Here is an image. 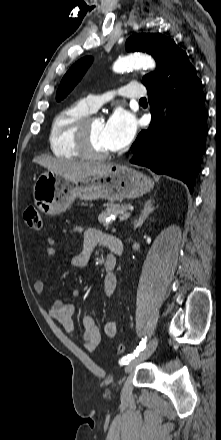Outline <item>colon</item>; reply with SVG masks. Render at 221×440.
Segmentation results:
<instances>
[{"label":"colon","mask_w":221,"mask_h":440,"mask_svg":"<svg viewBox=\"0 0 221 440\" xmlns=\"http://www.w3.org/2000/svg\"><path fill=\"white\" fill-rule=\"evenodd\" d=\"M24 219L30 228L35 230H40L42 228V219L37 207L35 206L27 207V209L24 212ZM115 350L118 354L123 353L124 345L117 344Z\"/></svg>","instance_id":"colon-1"}]
</instances>
